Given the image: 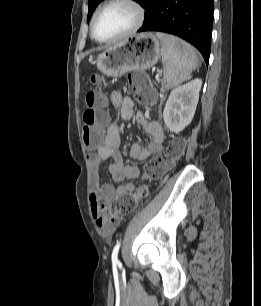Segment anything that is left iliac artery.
<instances>
[{"instance_id": "1", "label": "left iliac artery", "mask_w": 261, "mask_h": 306, "mask_svg": "<svg viewBox=\"0 0 261 306\" xmlns=\"http://www.w3.org/2000/svg\"><path fill=\"white\" fill-rule=\"evenodd\" d=\"M121 242H118L112 252V263L114 264H118L119 260H118V252H119V248H120Z\"/></svg>"}]
</instances>
